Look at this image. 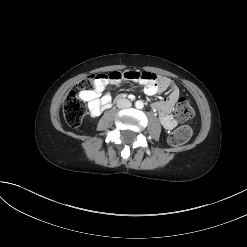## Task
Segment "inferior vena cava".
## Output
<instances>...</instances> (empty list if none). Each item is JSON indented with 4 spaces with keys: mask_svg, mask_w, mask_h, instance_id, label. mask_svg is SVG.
<instances>
[{
    "mask_svg": "<svg viewBox=\"0 0 247 247\" xmlns=\"http://www.w3.org/2000/svg\"><path fill=\"white\" fill-rule=\"evenodd\" d=\"M131 106V102L128 99H120L117 102V107L118 108H129Z\"/></svg>",
    "mask_w": 247,
    "mask_h": 247,
    "instance_id": "inferior-vena-cava-1",
    "label": "inferior vena cava"
}]
</instances>
